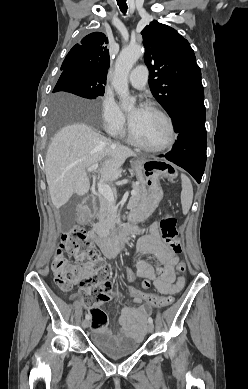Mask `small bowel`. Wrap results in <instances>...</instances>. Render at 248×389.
I'll return each mask as SVG.
<instances>
[{
  "instance_id": "1",
  "label": "small bowel",
  "mask_w": 248,
  "mask_h": 389,
  "mask_svg": "<svg viewBox=\"0 0 248 389\" xmlns=\"http://www.w3.org/2000/svg\"><path fill=\"white\" fill-rule=\"evenodd\" d=\"M136 245L138 259L135 264V280L147 278L153 281L156 290L163 295H171L178 292L184 283L183 277H175L174 268L178 262L177 251L170 245L160 240L156 223L150 224ZM154 255L164 266L163 274H157L155 269L143 256ZM125 289L128 293L127 287ZM129 294V293H128ZM74 299L75 296H72ZM132 304H138L135 308H123L118 316L120 328L116 332L106 330L108 334H123L135 341H140L147 328V321L151 315L152 307H148L141 298H131ZM100 303H102L100 301ZM89 308V307H88Z\"/></svg>"
}]
</instances>
